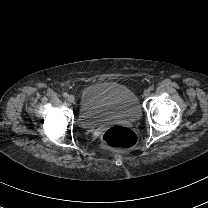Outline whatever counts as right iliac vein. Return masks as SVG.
Returning a JSON list of instances; mask_svg holds the SVG:
<instances>
[{
    "instance_id": "right-iliac-vein-1",
    "label": "right iliac vein",
    "mask_w": 208,
    "mask_h": 208,
    "mask_svg": "<svg viewBox=\"0 0 208 208\" xmlns=\"http://www.w3.org/2000/svg\"><path fill=\"white\" fill-rule=\"evenodd\" d=\"M68 101H69L70 103H74V102H75V97H74L73 95H70V96L68 97Z\"/></svg>"
}]
</instances>
